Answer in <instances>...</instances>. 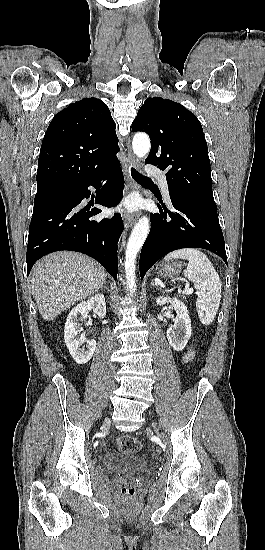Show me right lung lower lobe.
Instances as JSON below:
<instances>
[{
  "instance_id": "right-lung-lower-lobe-1",
  "label": "right lung lower lobe",
  "mask_w": 265,
  "mask_h": 550,
  "mask_svg": "<svg viewBox=\"0 0 265 550\" xmlns=\"http://www.w3.org/2000/svg\"><path fill=\"white\" fill-rule=\"evenodd\" d=\"M103 178L107 183L99 190L95 202L114 207L123 196L124 177L119 163L100 174L71 182L62 191L34 204L28 246L27 274L34 263L46 254L59 250L81 252L96 259L116 280L117 242L123 231L119 214L101 221L91 219L101 212L96 207H82L89 198V186L99 188Z\"/></svg>"
}]
</instances>
